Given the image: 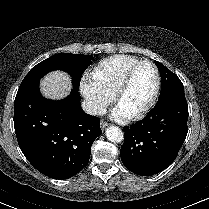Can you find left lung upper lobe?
<instances>
[{
  "label": "left lung upper lobe",
  "mask_w": 209,
  "mask_h": 209,
  "mask_svg": "<svg viewBox=\"0 0 209 209\" xmlns=\"http://www.w3.org/2000/svg\"><path fill=\"white\" fill-rule=\"evenodd\" d=\"M155 64L157 65L161 76L160 97L173 91H184L183 84L177 75L167 69L160 62L155 61Z\"/></svg>",
  "instance_id": "obj_1"
}]
</instances>
